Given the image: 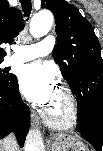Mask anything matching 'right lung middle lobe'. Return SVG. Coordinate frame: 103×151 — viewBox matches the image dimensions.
<instances>
[{
    "instance_id": "right-lung-middle-lobe-1",
    "label": "right lung middle lobe",
    "mask_w": 103,
    "mask_h": 151,
    "mask_svg": "<svg viewBox=\"0 0 103 151\" xmlns=\"http://www.w3.org/2000/svg\"><path fill=\"white\" fill-rule=\"evenodd\" d=\"M2 61L3 60H0V63H2ZM9 70V68L0 69V87L3 89H10L18 84L16 76L9 73Z\"/></svg>"
}]
</instances>
